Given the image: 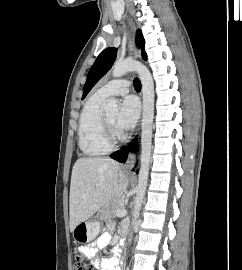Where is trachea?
I'll list each match as a JSON object with an SVG mask.
<instances>
[{"label":"trachea","instance_id":"trachea-1","mask_svg":"<svg viewBox=\"0 0 242 270\" xmlns=\"http://www.w3.org/2000/svg\"><path fill=\"white\" fill-rule=\"evenodd\" d=\"M134 88L137 91H140L141 90V82H140V80L138 78H135L134 79Z\"/></svg>","mask_w":242,"mask_h":270}]
</instances>
